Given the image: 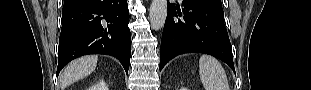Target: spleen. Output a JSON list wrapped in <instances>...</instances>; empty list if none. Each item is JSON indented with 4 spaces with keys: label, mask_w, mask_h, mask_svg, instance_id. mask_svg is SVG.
<instances>
[{
    "label": "spleen",
    "mask_w": 311,
    "mask_h": 90,
    "mask_svg": "<svg viewBox=\"0 0 311 90\" xmlns=\"http://www.w3.org/2000/svg\"><path fill=\"white\" fill-rule=\"evenodd\" d=\"M199 74L205 90H229L225 70L212 56L200 57Z\"/></svg>",
    "instance_id": "obj_1"
}]
</instances>
